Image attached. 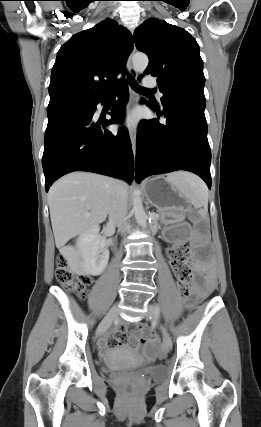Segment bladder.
<instances>
[{"label": "bladder", "mask_w": 261, "mask_h": 427, "mask_svg": "<svg viewBox=\"0 0 261 427\" xmlns=\"http://www.w3.org/2000/svg\"><path fill=\"white\" fill-rule=\"evenodd\" d=\"M108 372H111V370H107ZM145 373L153 378V379H162L165 374H166V370L163 366L157 365V366H152L149 367L148 369H146Z\"/></svg>", "instance_id": "obj_1"}]
</instances>
